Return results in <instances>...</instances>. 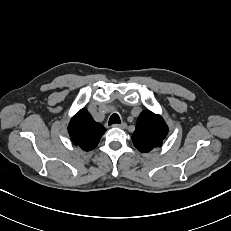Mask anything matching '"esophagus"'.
Here are the masks:
<instances>
[{"label": "esophagus", "instance_id": "34e87169", "mask_svg": "<svg viewBox=\"0 0 231 231\" xmlns=\"http://www.w3.org/2000/svg\"><path fill=\"white\" fill-rule=\"evenodd\" d=\"M127 126L126 123H121V124H114L113 127H116V128H121V129H125Z\"/></svg>", "mask_w": 231, "mask_h": 231}]
</instances>
